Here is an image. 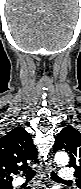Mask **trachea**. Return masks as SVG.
Segmentation results:
<instances>
[{
    "mask_svg": "<svg viewBox=\"0 0 81 189\" xmlns=\"http://www.w3.org/2000/svg\"><path fill=\"white\" fill-rule=\"evenodd\" d=\"M26 177H34L36 175V171L33 169H28L24 171ZM51 178L55 181H60V182H67L62 180L56 173H54L53 171L51 172Z\"/></svg>",
    "mask_w": 81,
    "mask_h": 189,
    "instance_id": "obj_1",
    "label": "trachea"
}]
</instances>
